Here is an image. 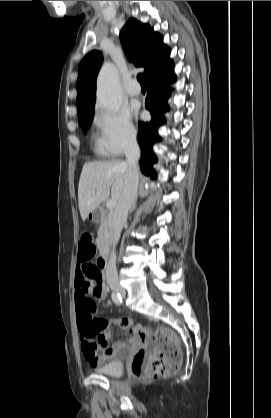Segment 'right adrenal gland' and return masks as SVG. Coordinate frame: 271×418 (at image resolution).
<instances>
[{
  "label": "right adrenal gland",
  "instance_id": "obj_1",
  "mask_svg": "<svg viewBox=\"0 0 271 418\" xmlns=\"http://www.w3.org/2000/svg\"><path fill=\"white\" fill-rule=\"evenodd\" d=\"M136 202H137V197H135L130 209H129V213H131L135 208H136Z\"/></svg>",
  "mask_w": 271,
  "mask_h": 418
}]
</instances>
